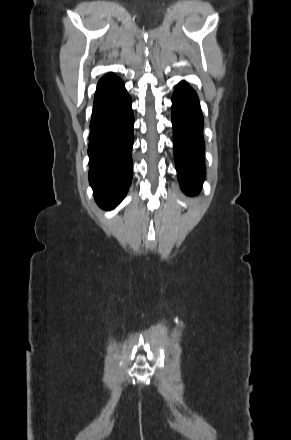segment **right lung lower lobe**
Segmentation results:
<instances>
[{
    "label": "right lung lower lobe",
    "instance_id": "obj_1",
    "mask_svg": "<svg viewBox=\"0 0 291 440\" xmlns=\"http://www.w3.org/2000/svg\"><path fill=\"white\" fill-rule=\"evenodd\" d=\"M132 100L113 73L97 85L89 136V182L103 209L115 208L132 180L134 116Z\"/></svg>",
    "mask_w": 291,
    "mask_h": 440
}]
</instances>
